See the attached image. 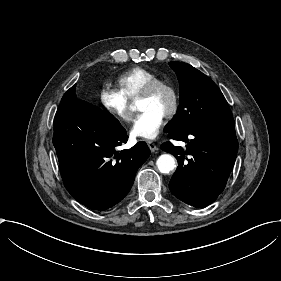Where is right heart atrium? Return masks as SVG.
<instances>
[{
  "label": "right heart atrium",
  "mask_w": 281,
  "mask_h": 281,
  "mask_svg": "<svg viewBox=\"0 0 281 281\" xmlns=\"http://www.w3.org/2000/svg\"><path fill=\"white\" fill-rule=\"evenodd\" d=\"M99 98L102 106L110 116L122 123L133 121V109L119 90L106 85L100 90Z\"/></svg>",
  "instance_id": "obj_1"
}]
</instances>
